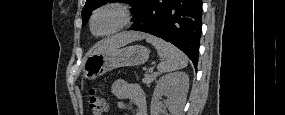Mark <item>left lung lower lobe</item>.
Segmentation results:
<instances>
[{
	"mask_svg": "<svg viewBox=\"0 0 285 115\" xmlns=\"http://www.w3.org/2000/svg\"><path fill=\"white\" fill-rule=\"evenodd\" d=\"M130 30L150 33L181 49L198 63L202 31L201 0H143L133 13Z\"/></svg>",
	"mask_w": 285,
	"mask_h": 115,
	"instance_id": "0a47b994",
	"label": "left lung lower lobe"
}]
</instances>
